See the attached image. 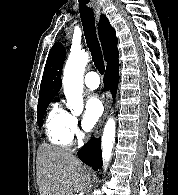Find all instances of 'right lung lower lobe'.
I'll return each instance as SVG.
<instances>
[{
    "label": "right lung lower lobe",
    "instance_id": "98d812e1",
    "mask_svg": "<svg viewBox=\"0 0 178 195\" xmlns=\"http://www.w3.org/2000/svg\"><path fill=\"white\" fill-rule=\"evenodd\" d=\"M119 82V63L107 68L104 76V86L106 90L112 92L115 99L117 86ZM78 157L85 164L91 166L94 170L99 171L102 168V152L100 138H92L78 152Z\"/></svg>",
    "mask_w": 178,
    "mask_h": 195
}]
</instances>
